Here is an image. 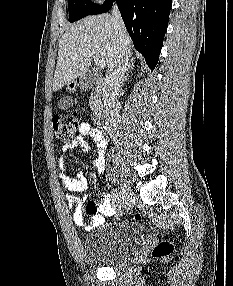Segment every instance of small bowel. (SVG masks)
I'll return each instance as SVG.
<instances>
[{
  "mask_svg": "<svg viewBox=\"0 0 233 286\" xmlns=\"http://www.w3.org/2000/svg\"><path fill=\"white\" fill-rule=\"evenodd\" d=\"M93 141L98 147V154L94 161V169L101 173L105 167V156L107 149V140L101 132L87 122L79 125L78 135L69 143L63 145L62 149L68 151L74 148H80L84 154L91 150L90 143L86 140ZM59 178L63 189L67 192L66 199L68 205L72 208L73 221L76 226L91 231L99 227L104 221V215L109 214L110 195H105L97 201H90L85 206V212L90 216L87 220L84 217L83 201L76 195L87 191L88 180L82 172L72 176L66 169L64 160L58 164Z\"/></svg>",
  "mask_w": 233,
  "mask_h": 286,
  "instance_id": "1",
  "label": "small bowel"
}]
</instances>
